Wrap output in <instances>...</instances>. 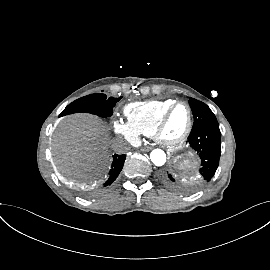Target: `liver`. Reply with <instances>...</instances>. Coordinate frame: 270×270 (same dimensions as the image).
Segmentation results:
<instances>
[{
    "mask_svg": "<svg viewBox=\"0 0 270 270\" xmlns=\"http://www.w3.org/2000/svg\"><path fill=\"white\" fill-rule=\"evenodd\" d=\"M108 132L97 116L85 113L63 117L53 133L52 152L62 172L100 171L108 157Z\"/></svg>",
    "mask_w": 270,
    "mask_h": 270,
    "instance_id": "1",
    "label": "liver"
}]
</instances>
